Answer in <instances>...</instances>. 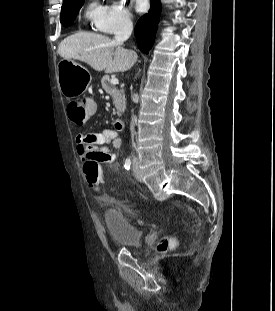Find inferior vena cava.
<instances>
[{"label":"inferior vena cava","instance_id":"602c4592","mask_svg":"<svg viewBox=\"0 0 275 311\" xmlns=\"http://www.w3.org/2000/svg\"><path fill=\"white\" fill-rule=\"evenodd\" d=\"M133 30V24L130 20H124L116 29L115 31V43H117L118 45H122L124 41H126ZM133 101H136L137 99V95L134 94L132 96ZM134 125H135V116L132 115V121H131V135H132V144H134ZM134 159H136L134 157Z\"/></svg>","mask_w":275,"mask_h":311}]
</instances>
